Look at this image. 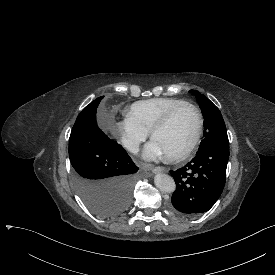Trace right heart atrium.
Masks as SVG:
<instances>
[{
	"label": "right heart atrium",
	"instance_id": "obj_1",
	"mask_svg": "<svg viewBox=\"0 0 275 275\" xmlns=\"http://www.w3.org/2000/svg\"><path fill=\"white\" fill-rule=\"evenodd\" d=\"M114 134L123 146L131 153L139 151L141 144L148 136V132L130 118L118 120L114 124Z\"/></svg>",
	"mask_w": 275,
	"mask_h": 275
}]
</instances>
